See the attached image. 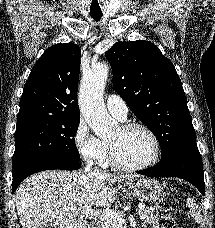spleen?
Wrapping results in <instances>:
<instances>
[{"label":"spleen","mask_w":215,"mask_h":228,"mask_svg":"<svg viewBox=\"0 0 215 228\" xmlns=\"http://www.w3.org/2000/svg\"><path fill=\"white\" fill-rule=\"evenodd\" d=\"M187 204L192 208L191 216H195V218H198L199 212L195 210V204H193V200H188Z\"/></svg>","instance_id":"3e777b00"}]
</instances>
